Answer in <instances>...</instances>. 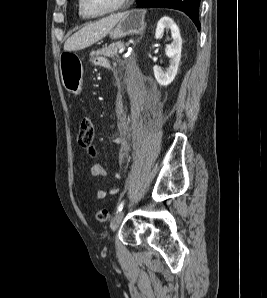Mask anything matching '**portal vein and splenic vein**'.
<instances>
[{"mask_svg": "<svg viewBox=\"0 0 267 298\" xmlns=\"http://www.w3.org/2000/svg\"><path fill=\"white\" fill-rule=\"evenodd\" d=\"M125 50V47L120 48V50L118 51L119 54H122Z\"/></svg>", "mask_w": 267, "mask_h": 298, "instance_id": "18ae733b", "label": "portal vein and splenic vein"}]
</instances>
